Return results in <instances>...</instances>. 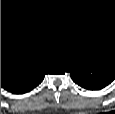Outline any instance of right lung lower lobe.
<instances>
[{
	"label": "right lung lower lobe",
	"mask_w": 115,
	"mask_h": 114,
	"mask_svg": "<svg viewBox=\"0 0 115 114\" xmlns=\"http://www.w3.org/2000/svg\"><path fill=\"white\" fill-rule=\"evenodd\" d=\"M48 63L20 56L1 57V87L13 94H24L44 79Z\"/></svg>",
	"instance_id": "98d812e1"
}]
</instances>
